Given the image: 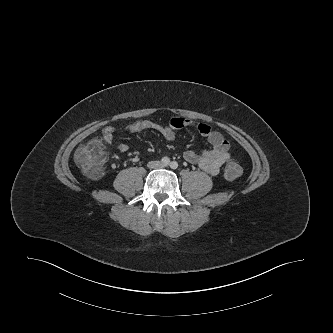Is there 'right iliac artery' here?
Masks as SVG:
<instances>
[{
  "label": "right iliac artery",
  "mask_w": 333,
  "mask_h": 333,
  "mask_svg": "<svg viewBox=\"0 0 333 333\" xmlns=\"http://www.w3.org/2000/svg\"><path fill=\"white\" fill-rule=\"evenodd\" d=\"M161 163L164 165V166H167L169 163H170V159L168 157H163L161 159Z\"/></svg>",
  "instance_id": "82829eb1"
}]
</instances>
